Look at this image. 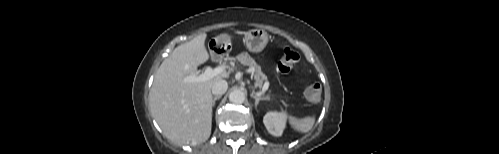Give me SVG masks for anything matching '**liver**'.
I'll return each mask as SVG.
<instances>
[{
    "label": "liver",
    "instance_id": "liver-1",
    "mask_svg": "<svg viewBox=\"0 0 499 154\" xmlns=\"http://www.w3.org/2000/svg\"><path fill=\"white\" fill-rule=\"evenodd\" d=\"M236 34L247 32L236 31ZM202 33L179 45L157 70L150 91V108L165 136L179 145H197L211 135V89L217 80L229 78L224 72L204 82H185L197 76L198 66L209 60Z\"/></svg>",
    "mask_w": 499,
    "mask_h": 154
}]
</instances>
